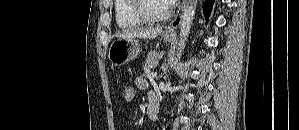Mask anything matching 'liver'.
I'll return each instance as SVG.
<instances>
[{
  "instance_id": "1",
  "label": "liver",
  "mask_w": 299,
  "mask_h": 130,
  "mask_svg": "<svg viewBox=\"0 0 299 130\" xmlns=\"http://www.w3.org/2000/svg\"><path fill=\"white\" fill-rule=\"evenodd\" d=\"M162 32L161 27L147 28V29H134L124 31L117 34L119 38H143V39H154Z\"/></svg>"
}]
</instances>
